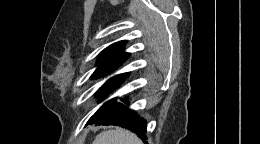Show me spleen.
Wrapping results in <instances>:
<instances>
[{
    "label": "spleen",
    "mask_w": 260,
    "mask_h": 144,
    "mask_svg": "<svg viewBox=\"0 0 260 144\" xmlns=\"http://www.w3.org/2000/svg\"><path fill=\"white\" fill-rule=\"evenodd\" d=\"M93 144H142L140 139L132 132L117 128L98 134Z\"/></svg>",
    "instance_id": "3e777b00"
}]
</instances>
